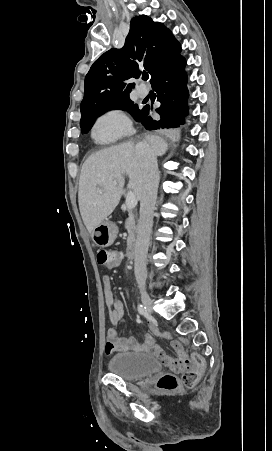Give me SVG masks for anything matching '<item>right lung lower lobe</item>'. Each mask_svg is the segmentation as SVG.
Wrapping results in <instances>:
<instances>
[{
	"instance_id": "98d812e1",
	"label": "right lung lower lobe",
	"mask_w": 272,
	"mask_h": 451,
	"mask_svg": "<svg viewBox=\"0 0 272 451\" xmlns=\"http://www.w3.org/2000/svg\"><path fill=\"white\" fill-rule=\"evenodd\" d=\"M185 59L179 54L168 65L164 66L151 82L158 94L161 105L156 109L160 114L159 120L147 117L149 108H144L138 122L148 130H163L180 128L185 124L188 114V89L186 87L187 75L184 70Z\"/></svg>"
}]
</instances>
